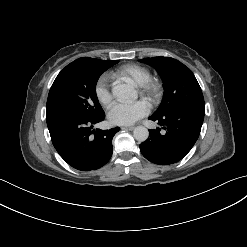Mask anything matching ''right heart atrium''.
Returning <instances> with one entry per match:
<instances>
[{
  "label": "right heart atrium",
  "instance_id": "right-heart-atrium-1",
  "mask_svg": "<svg viewBox=\"0 0 247 247\" xmlns=\"http://www.w3.org/2000/svg\"><path fill=\"white\" fill-rule=\"evenodd\" d=\"M95 96L102 105H108L112 101V93L108 86V76H101L95 84Z\"/></svg>",
  "mask_w": 247,
  "mask_h": 247
}]
</instances>
